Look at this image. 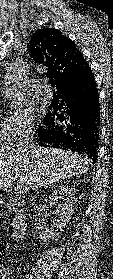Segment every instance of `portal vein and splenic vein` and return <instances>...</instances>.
Returning a JSON list of instances; mask_svg holds the SVG:
<instances>
[{
    "mask_svg": "<svg viewBox=\"0 0 113 279\" xmlns=\"http://www.w3.org/2000/svg\"><path fill=\"white\" fill-rule=\"evenodd\" d=\"M27 187L28 186H26V185H19V186H17V188L19 189V190H26L27 189Z\"/></svg>",
    "mask_w": 113,
    "mask_h": 279,
    "instance_id": "obj_1",
    "label": "portal vein and splenic vein"
}]
</instances>
